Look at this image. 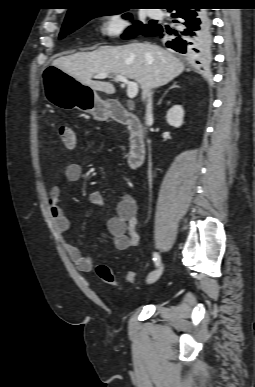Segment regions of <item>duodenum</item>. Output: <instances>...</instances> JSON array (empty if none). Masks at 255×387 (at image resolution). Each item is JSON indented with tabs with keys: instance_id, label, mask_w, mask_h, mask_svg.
<instances>
[{
	"instance_id": "410a0bca",
	"label": "duodenum",
	"mask_w": 255,
	"mask_h": 387,
	"mask_svg": "<svg viewBox=\"0 0 255 387\" xmlns=\"http://www.w3.org/2000/svg\"><path fill=\"white\" fill-rule=\"evenodd\" d=\"M108 115L114 121L121 123L128 128L129 151L127 165L130 169L139 168L142 165L146 154L144 131L140 120L137 116L128 112L119 103H112L109 106Z\"/></svg>"
}]
</instances>
